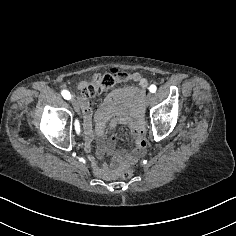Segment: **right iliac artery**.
<instances>
[{
	"mask_svg": "<svg viewBox=\"0 0 236 236\" xmlns=\"http://www.w3.org/2000/svg\"><path fill=\"white\" fill-rule=\"evenodd\" d=\"M62 96L64 97V99L70 100L71 99V95L70 92L67 90H63L61 92ZM75 130L77 131V133L79 134L80 132V126H79V122L78 120L75 121Z\"/></svg>",
	"mask_w": 236,
	"mask_h": 236,
	"instance_id": "1",
	"label": "right iliac artery"
}]
</instances>
